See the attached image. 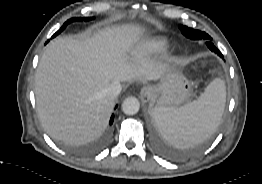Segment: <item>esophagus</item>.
Wrapping results in <instances>:
<instances>
[{
	"mask_svg": "<svg viewBox=\"0 0 262 184\" xmlns=\"http://www.w3.org/2000/svg\"><path fill=\"white\" fill-rule=\"evenodd\" d=\"M141 99L144 102H148L152 97V89L150 87H144L141 90Z\"/></svg>",
	"mask_w": 262,
	"mask_h": 184,
	"instance_id": "34e87169",
	"label": "esophagus"
}]
</instances>
